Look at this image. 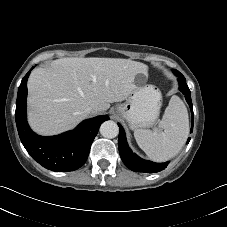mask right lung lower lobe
Listing matches in <instances>:
<instances>
[{"instance_id":"obj_1","label":"right lung lower lobe","mask_w":227,"mask_h":227,"mask_svg":"<svg viewBox=\"0 0 227 227\" xmlns=\"http://www.w3.org/2000/svg\"><path fill=\"white\" fill-rule=\"evenodd\" d=\"M28 72L18 89L15 120L20 140L27 152L46 169L69 172L80 168L87 160L91 144L100 125L109 119L98 116L83 121L72 131L57 136L42 137L34 133L26 118Z\"/></svg>"}]
</instances>
